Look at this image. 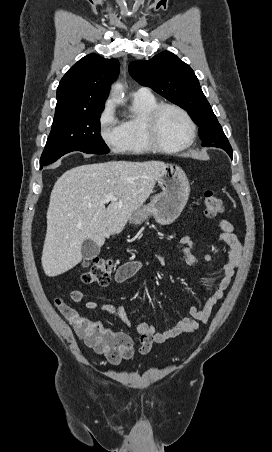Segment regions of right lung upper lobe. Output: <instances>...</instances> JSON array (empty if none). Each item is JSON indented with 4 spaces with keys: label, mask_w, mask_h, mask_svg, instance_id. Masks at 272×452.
<instances>
[{
    "label": "right lung upper lobe",
    "mask_w": 272,
    "mask_h": 452,
    "mask_svg": "<svg viewBox=\"0 0 272 452\" xmlns=\"http://www.w3.org/2000/svg\"><path fill=\"white\" fill-rule=\"evenodd\" d=\"M119 74L117 59L89 54L73 65L57 88L55 116L104 108L112 81Z\"/></svg>",
    "instance_id": "obj_1"
}]
</instances>
